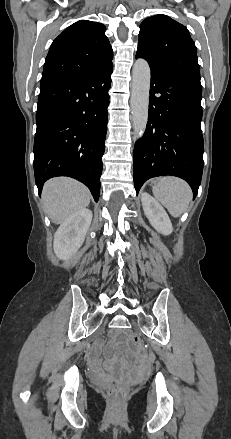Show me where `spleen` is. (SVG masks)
Returning a JSON list of instances; mask_svg holds the SVG:
<instances>
[{
	"label": "spleen",
	"instance_id": "3e777b00",
	"mask_svg": "<svg viewBox=\"0 0 231 439\" xmlns=\"http://www.w3.org/2000/svg\"><path fill=\"white\" fill-rule=\"evenodd\" d=\"M152 190L155 198L176 218L187 210L192 199L190 186L176 177L157 179Z\"/></svg>",
	"mask_w": 231,
	"mask_h": 439
}]
</instances>
